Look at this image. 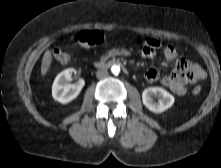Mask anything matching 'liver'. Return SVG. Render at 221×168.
Wrapping results in <instances>:
<instances>
[{
	"instance_id": "liver-1",
	"label": "liver",
	"mask_w": 221,
	"mask_h": 168,
	"mask_svg": "<svg viewBox=\"0 0 221 168\" xmlns=\"http://www.w3.org/2000/svg\"><path fill=\"white\" fill-rule=\"evenodd\" d=\"M52 61H53V59H52L51 51L46 50V52L44 53L43 59H42V64H41V75L43 77L47 74Z\"/></svg>"
}]
</instances>
